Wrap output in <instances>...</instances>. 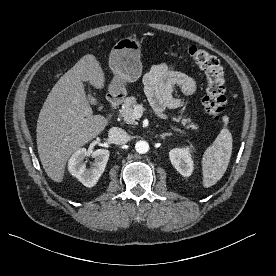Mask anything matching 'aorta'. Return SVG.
<instances>
[{
	"label": "aorta",
	"instance_id": "762f6f07",
	"mask_svg": "<svg viewBox=\"0 0 276 276\" xmlns=\"http://www.w3.org/2000/svg\"><path fill=\"white\" fill-rule=\"evenodd\" d=\"M135 150L136 152L140 153V154H145L148 152L149 150V144L148 142L144 141V140H140L135 144Z\"/></svg>",
	"mask_w": 276,
	"mask_h": 276
}]
</instances>
